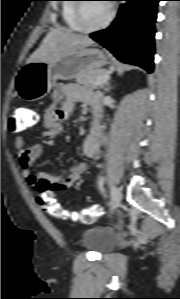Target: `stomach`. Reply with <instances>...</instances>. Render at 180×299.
<instances>
[{"label": "stomach", "mask_w": 180, "mask_h": 299, "mask_svg": "<svg viewBox=\"0 0 180 299\" xmlns=\"http://www.w3.org/2000/svg\"><path fill=\"white\" fill-rule=\"evenodd\" d=\"M108 64V56L96 48L68 52L50 62L23 65L15 78L16 93L26 101L44 98L56 80H70Z\"/></svg>", "instance_id": "stomach-1"}]
</instances>
